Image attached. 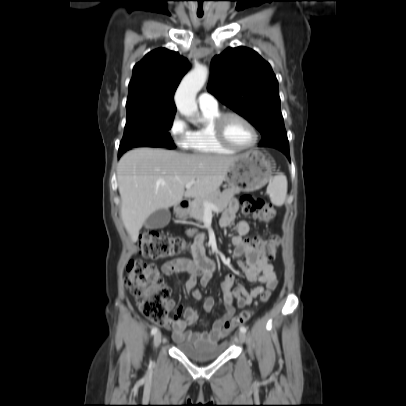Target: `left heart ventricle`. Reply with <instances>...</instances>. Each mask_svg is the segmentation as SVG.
I'll use <instances>...</instances> for the list:
<instances>
[{
  "instance_id": "obj_1",
  "label": "left heart ventricle",
  "mask_w": 406,
  "mask_h": 406,
  "mask_svg": "<svg viewBox=\"0 0 406 406\" xmlns=\"http://www.w3.org/2000/svg\"><path fill=\"white\" fill-rule=\"evenodd\" d=\"M225 134L227 139L235 146L246 147L253 142L251 129L241 120L230 117L225 123Z\"/></svg>"
}]
</instances>
